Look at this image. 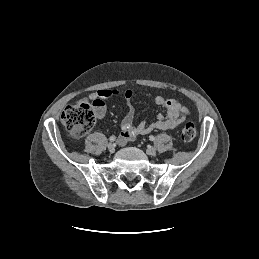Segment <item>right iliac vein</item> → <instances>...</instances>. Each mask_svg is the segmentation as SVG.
<instances>
[{"mask_svg": "<svg viewBox=\"0 0 259 259\" xmlns=\"http://www.w3.org/2000/svg\"><path fill=\"white\" fill-rule=\"evenodd\" d=\"M107 148H108L109 152H111V153H113L115 151V145L112 143H109L107 145Z\"/></svg>", "mask_w": 259, "mask_h": 259, "instance_id": "1", "label": "right iliac vein"}]
</instances>
